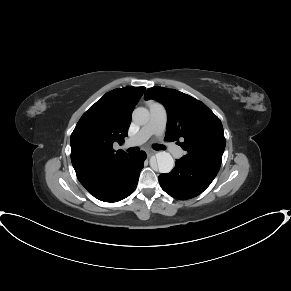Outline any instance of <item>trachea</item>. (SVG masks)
Returning a JSON list of instances; mask_svg holds the SVG:
<instances>
[{
    "label": "trachea",
    "instance_id": "obj_1",
    "mask_svg": "<svg viewBox=\"0 0 291 291\" xmlns=\"http://www.w3.org/2000/svg\"><path fill=\"white\" fill-rule=\"evenodd\" d=\"M154 149L155 150H164L165 147L163 145H161V144H156V145H154ZM127 151L133 153V152L139 151V148L138 147H132V148H129Z\"/></svg>",
    "mask_w": 291,
    "mask_h": 291
}]
</instances>
